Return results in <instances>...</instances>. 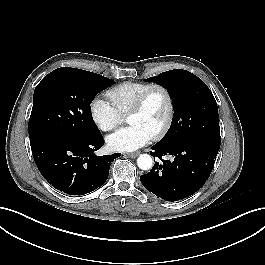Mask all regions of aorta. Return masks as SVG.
I'll return each instance as SVG.
<instances>
[{
    "instance_id": "aorta-1",
    "label": "aorta",
    "mask_w": 265,
    "mask_h": 265,
    "mask_svg": "<svg viewBox=\"0 0 265 265\" xmlns=\"http://www.w3.org/2000/svg\"><path fill=\"white\" fill-rule=\"evenodd\" d=\"M137 165L141 170H149L153 166V159L148 154H141L137 158Z\"/></svg>"
}]
</instances>
